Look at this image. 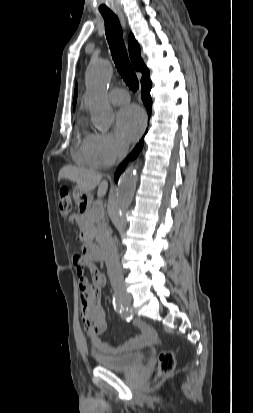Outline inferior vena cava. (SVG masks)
Listing matches in <instances>:
<instances>
[{
    "label": "inferior vena cava",
    "mask_w": 253,
    "mask_h": 413,
    "mask_svg": "<svg viewBox=\"0 0 253 413\" xmlns=\"http://www.w3.org/2000/svg\"><path fill=\"white\" fill-rule=\"evenodd\" d=\"M127 153V148H122L119 153V161ZM98 244L105 255L107 272L112 288L115 291H125V284L119 257L116 248V241L107 230H101L97 236Z\"/></svg>",
    "instance_id": "602c4592"
}]
</instances>
